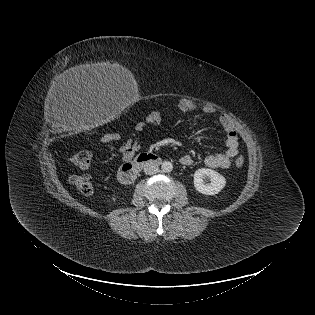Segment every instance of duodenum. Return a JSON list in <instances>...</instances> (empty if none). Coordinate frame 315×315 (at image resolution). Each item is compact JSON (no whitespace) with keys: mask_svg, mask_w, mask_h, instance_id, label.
Listing matches in <instances>:
<instances>
[{"mask_svg":"<svg viewBox=\"0 0 315 315\" xmlns=\"http://www.w3.org/2000/svg\"><path fill=\"white\" fill-rule=\"evenodd\" d=\"M161 158L154 153L139 154L133 161L124 163L117 174L118 180L124 185L134 182L138 172L147 164H159Z\"/></svg>","mask_w":315,"mask_h":315,"instance_id":"duodenum-1","label":"duodenum"}]
</instances>
